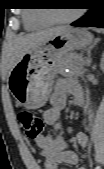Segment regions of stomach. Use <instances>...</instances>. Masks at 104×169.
Masks as SVG:
<instances>
[{
    "mask_svg": "<svg viewBox=\"0 0 104 169\" xmlns=\"http://www.w3.org/2000/svg\"><path fill=\"white\" fill-rule=\"evenodd\" d=\"M93 35L86 30L69 28L27 52L9 74L8 86L18 105L37 109L48 100L64 56L90 44Z\"/></svg>",
    "mask_w": 104,
    "mask_h": 169,
    "instance_id": "obj_1",
    "label": "stomach"
}]
</instances>
